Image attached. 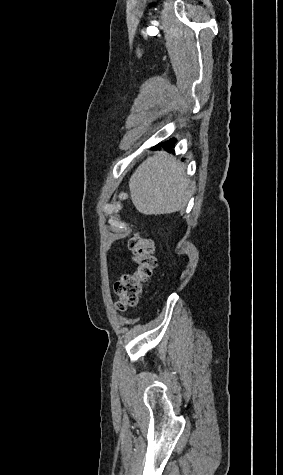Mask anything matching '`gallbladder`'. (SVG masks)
<instances>
[{"label":"gallbladder","instance_id":"bac80fb5","mask_svg":"<svg viewBox=\"0 0 283 475\" xmlns=\"http://www.w3.org/2000/svg\"><path fill=\"white\" fill-rule=\"evenodd\" d=\"M119 198H120V200H127V196H126V194H123V192H122V194H120Z\"/></svg>","mask_w":283,"mask_h":475}]
</instances>
